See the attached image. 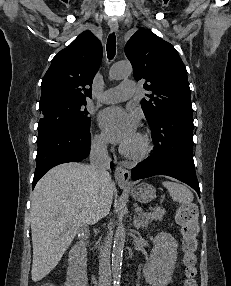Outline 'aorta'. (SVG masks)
<instances>
[{
    "label": "aorta",
    "instance_id": "obj_1",
    "mask_svg": "<svg viewBox=\"0 0 231 286\" xmlns=\"http://www.w3.org/2000/svg\"><path fill=\"white\" fill-rule=\"evenodd\" d=\"M132 73V66L127 62H120L115 64L110 72L111 79H121L129 76ZM126 231L123 223H119L114 236V245L112 252V274L114 284H119L123 260V249L125 244Z\"/></svg>",
    "mask_w": 231,
    "mask_h": 286
}]
</instances>
